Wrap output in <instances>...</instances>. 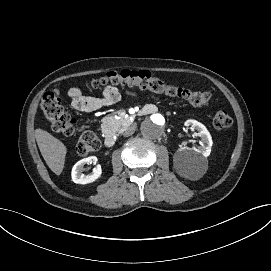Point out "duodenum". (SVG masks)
<instances>
[{
    "instance_id": "1",
    "label": "duodenum",
    "mask_w": 271,
    "mask_h": 271,
    "mask_svg": "<svg viewBox=\"0 0 271 271\" xmlns=\"http://www.w3.org/2000/svg\"><path fill=\"white\" fill-rule=\"evenodd\" d=\"M104 143L107 147H113L116 143V138L113 134H107L104 138Z\"/></svg>"
}]
</instances>
